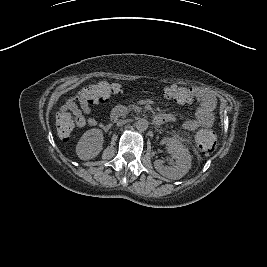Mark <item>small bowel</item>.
Here are the masks:
<instances>
[{"label": "small bowel", "instance_id": "small-bowel-1", "mask_svg": "<svg viewBox=\"0 0 267 267\" xmlns=\"http://www.w3.org/2000/svg\"><path fill=\"white\" fill-rule=\"evenodd\" d=\"M180 88L189 93V100L183 104H189L195 100L199 102L194 118L185 120L183 123L184 128L194 131L200 127H212L215 122L214 108L216 99L214 94L208 89L198 86ZM62 110L71 113L78 120L77 123L80 126L94 127L98 125L97 119L85 116L91 112V104H82L80 102L78 104L75 97L68 98L62 106ZM162 116L166 118L164 122H169L173 119L170 114H163ZM100 126L104 129L108 127L106 124H100Z\"/></svg>", "mask_w": 267, "mask_h": 267}]
</instances>
